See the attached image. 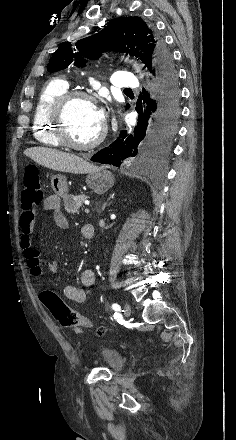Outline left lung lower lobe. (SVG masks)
Returning a JSON list of instances; mask_svg holds the SVG:
<instances>
[{
	"label": "left lung lower lobe",
	"mask_w": 236,
	"mask_h": 440,
	"mask_svg": "<svg viewBox=\"0 0 236 440\" xmlns=\"http://www.w3.org/2000/svg\"><path fill=\"white\" fill-rule=\"evenodd\" d=\"M147 68L152 75L153 90L150 94L143 90L138 98L137 126L131 131H121L115 142L93 155L92 161L119 167L136 156L158 155L175 135L180 116V91L173 60L169 64L160 61Z\"/></svg>",
	"instance_id": "1"
}]
</instances>
